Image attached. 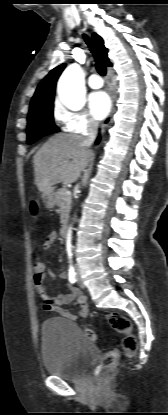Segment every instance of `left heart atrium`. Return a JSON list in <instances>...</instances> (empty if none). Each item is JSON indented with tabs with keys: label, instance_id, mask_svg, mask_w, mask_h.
Wrapping results in <instances>:
<instances>
[{
	"label": "left heart atrium",
	"instance_id": "1",
	"mask_svg": "<svg viewBox=\"0 0 168 415\" xmlns=\"http://www.w3.org/2000/svg\"><path fill=\"white\" fill-rule=\"evenodd\" d=\"M89 108L96 120H102L110 111L111 101L105 92H95L89 97Z\"/></svg>",
	"mask_w": 168,
	"mask_h": 415
}]
</instances>
